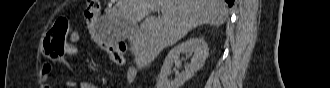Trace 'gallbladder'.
Masks as SVG:
<instances>
[{"instance_id": "gallbladder-1", "label": "gallbladder", "mask_w": 330, "mask_h": 88, "mask_svg": "<svg viewBox=\"0 0 330 88\" xmlns=\"http://www.w3.org/2000/svg\"><path fill=\"white\" fill-rule=\"evenodd\" d=\"M136 29L137 24L133 22L104 20L102 22V37L108 43H116L129 38Z\"/></svg>"}]
</instances>
